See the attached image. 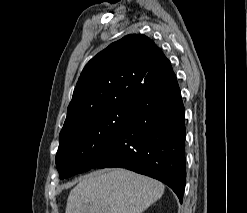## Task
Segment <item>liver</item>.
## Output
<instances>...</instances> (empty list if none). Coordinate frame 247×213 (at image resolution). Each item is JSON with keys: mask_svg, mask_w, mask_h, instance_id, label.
<instances>
[{"mask_svg": "<svg viewBox=\"0 0 247 213\" xmlns=\"http://www.w3.org/2000/svg\"><path fill=\"white\" fill-rule=\"evenodd\" d=\"M164 185L116 168L85 175L71 190L65 213H142L160 199Z\"/></svg>", "mask_w": 247, "mask_h": 213, "instance_id": "1", "label": "liver"}]
</instances>
